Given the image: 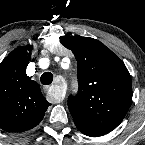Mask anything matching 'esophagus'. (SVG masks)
I'll list each match as a JSON object with an SVG mask.
<instances>
[{"label": "esophagus", "instance_id": "1", "mask_svg": "<svg viewBox=\"0 0 145 145\" xmlns=\"http://www.w3.org/2000/svg\"><path fill=\"white\" fill-rule=\"evenodd\" d=\"M54 86L50 87L47 86L45 89L48 91V96L50 99H52L55 103H60L63 99H64V95L60 92V91H50L51 89H53Z\"/></svg>", "mask_w": 145, "mask_h": 145}]
</instances>
